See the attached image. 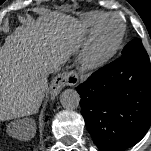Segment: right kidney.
Wrapping results in <instances>:
<instances>
[{"instance_id": "ca27d5eb", "label": "right kidney", "mask_w": 151, "mask_h": 151, "mask_svg": "<svg viewBox=\"0 0 151 151\" xmlns=\"http://www.w3.org/2000/svg\"><path fill=\"white\" fill-rule=\"evenodd\" d=\"M27 134H28V133H27ZM27 134H25V136H24L25 139H26V135H27ZM27 140H29V139H27Z\"/></svg>"}]
</instances>
